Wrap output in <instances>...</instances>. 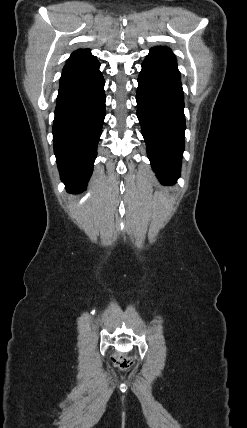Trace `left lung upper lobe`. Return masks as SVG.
I'll return each mask as SVG.
<instances>
[{
    "label": "left lung upper lobe",
    "instance_id": "5c2ea615",
    "mask_svg": "<svg viewBox=\"0 0 247 428\" xmlns=\"http://www.w3.org/2000/svg\"><path fill=\"white\" fill-rule=\"evenodd\" d=\"M159 48L170 50V49H169V48H167V47H161V46H160Z\"/></svg>",
    "mask_w": 247,
    "mask_h": 428
}]
</instances>
